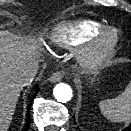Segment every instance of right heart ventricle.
<instances>
[{"label": "right heart ventricle", "mask_w": 131, "mask_h": 131, "mask_svg": "<svg viewBox=\"0 0 131 131\" xmlns=\"http://www.w3.org/2000/svg\"><path fill=\"white\" fill-rule=\"evenodd\" d=\"M103 24L95 20H78L57 24L50 35L58 46L71 48L86 42Z\"/></svg>", "instance_id": "obj_1"}]
</instances>
